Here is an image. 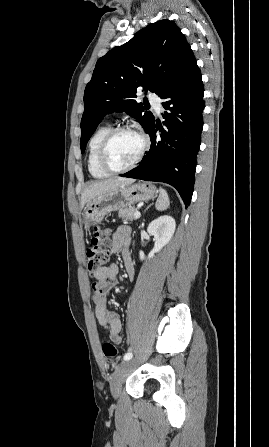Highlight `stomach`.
Listing matches in <instances>:
<instances>
[{"instance_id": "1", "label": "stomach", "mask_w": 269, "mask_h": 447, "mask_svg": "<svg viewBox=\"0 0 269 447\" xmlns=\"http://www.w3.org/2000/svg\"><path fill=\"white\" fill-rule=\"evenodd\" d=\"M155 194H157L156 188L150 182H141V184H133V186H119L116 190H111V192L87 202L83 210L82 222L86 227L100 224L109 212L123 210L136 202H146V200H151Z\"/></svg>"}]
</instances>
